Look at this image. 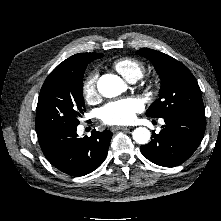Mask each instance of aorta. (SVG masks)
I'll list each match as a JSON object with an SVG mask.
<instances>
[{
  "label": "aorta",
  "instance_id": "762f6f07",
  "mask_svg": "<svg viewBox=\"0 0 221 221\" xmlns=\"http://www.w3.org/2000/svg\"><path fill=\"white\" fill-rule=\"evenodd\" d=\"M97 88L101 95L107 98H113L120 95L126 88L124 81L113 74L102 75L98 82ZM133 139L139 144H147L150 140V131L145 127H138L132 133Z\"/></svg>",
  "mask_w": 221,
  "mask_h": 221
}]
</instances>
